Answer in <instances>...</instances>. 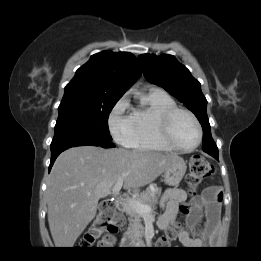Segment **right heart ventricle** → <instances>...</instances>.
<instances>
[{"label": "right heart ventricle", "instance_id": "obj_1", "mask_svg": "<svg viewBox=\"0 0 261 261\" xmlns=\"http://www.w3.org/2000/svg\"><path fill=\"white\" fill-rule=\"evenodd\" d=\"M173 107H176L174 99L163 90L150 89L144 93L140 105L130 114L133 136L128 146L144 151H171L160 137L158 119Z\"/></svg>", "mask_w": 261, "mask_h": 261}]
</instances>
